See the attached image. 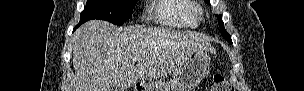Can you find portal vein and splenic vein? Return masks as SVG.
<instances>
[{"instance_id":"portal-vein-and-splenic-vein-1","label":"portal vein and splenic vein","mask_w":304,"mask_h":91,"mask_svg":"<svg viewBox=\"0 0 304 91\" xmlns=\"http://www.w3.org/2000/svg\"><path fill=\"white\" fill-rule=\"evenodd\" d=\"M134 61H139L140 60V57L139 56H136V57H134V59H133Z\"/></svg>"}]
</instances>
